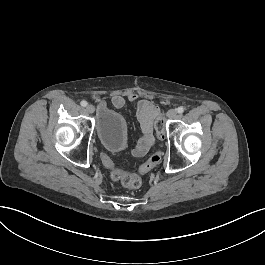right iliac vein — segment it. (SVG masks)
<instances>
[{
  "mask_svg": "<svg viewBox=\"0 0 265 265\" xmlns=\"http://www.w3.org/2000/svg\"><path fill=\"white\" fill-rule=\"evenodd\" d=\"M86 111H87L88 113L92 114V113H94V111H95V107H94L92 104H88V105L86 106Z\"/></svg>",
  "mask_w": 265,
  "mask_h": 265,
  "instance_id": "right-iliac-vein-1",
  "label": "right iliac vein"
}]
</instances>
